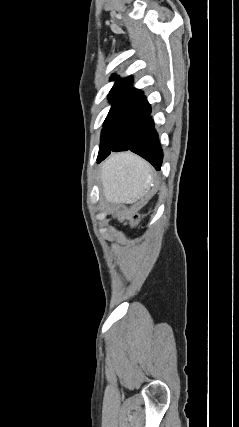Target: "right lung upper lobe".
Returning a JSON list of instances; mask_svg holds the SVG:
<instances>
[{
	"mask_svg": "<svg viewBox=\"0 0 239 427\" xmlns=\"http://www.w3.org/2000/svg\"><path fill=\"white\" fill-rule=\"evenodd\" d=\"M110 80H115V84L112 87L110 94L108 96L109 100H119V99H140V100H146L143 93L132 87V78H123L120 79L117 75H112L110 77Z\"/></svg>",
	"mask_w": 239,
	"mask_h": 427,
	"instance_id": "cb5924a9",
	"label": "right lung upper lobe"
}]
</instances>
